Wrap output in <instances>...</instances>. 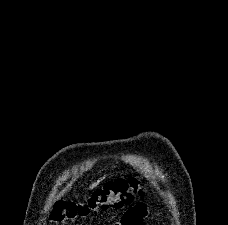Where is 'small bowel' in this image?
Here are the masks:
<instances>
[{
	"mask_svg": "<svg viewBox=\"0 0 228 225\" xmlns=\"http://www.w3.org/2000/svg\"><path fill=\"white\" fill-rule=\"evenodd\" d=\"M147 204H136V207H131L127 210L121 222L116 223L115 225H141L140 218H145Z\"/></svg>",
	"mask_w": 228,
	"mask_h": 225,
	"instance_id": "1",
	"label": "small bowel"
}]
</instances>
